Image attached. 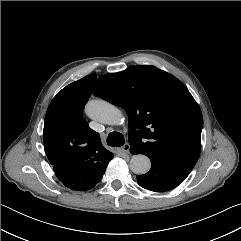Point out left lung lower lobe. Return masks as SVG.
I'll list each match as a JSON object with an SVG mask.
<instances>
[{
  "label": "left lung lower lobe",
  "instance_id": "1",
  "mask_svg": "<svg viewBox=\"0 0 241 241\" xmlns=\"http://www.w3.org/2000/svg\"><path fill=\"white\" fill-rule=\"evenodd\" d=\"M132 153H139L130 147ZM189 171L175 166L151 160V169L144 175L137 176L138 184L150 191L162 192L177 187L189 175Z\"/></svg>",
  "mask_w": 241,
  "mask_h": 241
}]
</instances>
